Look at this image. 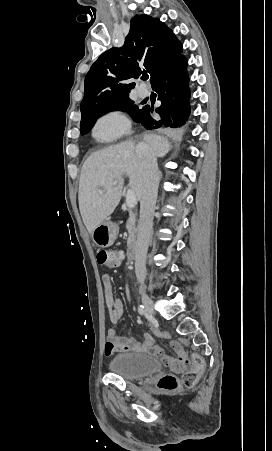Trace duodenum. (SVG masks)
I'll list each match as a JSON object with an SVG mask.
<instances>
[{
	"instance_id": "duodenum-1",
	"label": "duodenum",
	"mask_w": 272,
	"mask_h": 451,
	"mask_svg": "<svg viewBox=\"0 0 272 451\" xmlns=\"http://www.w3.org/2000/svg\"><path fill=\"white\" fill-rule=\"evenodd\" d=\"M136 253H137L136 247H135V246H130V247L127 249V257H128V259H129V260H134L135 257H136Z\"/></svg>"
}]
</instances>
